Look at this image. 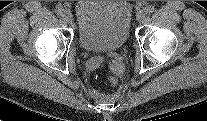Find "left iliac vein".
<instances>
[{
	"label": "left iliac vein",
	"instance_id": "obj_1",
	"mask_svg": "<svg viewBox=\"0 0 207 121\" xmlns=\"http://www.w3.org/2000/svg\"><path fill=\"white\" fill-rule=\"evenodd\" d=\"M136 19L138 22H142L145 19V13L143 11H139L137 13Z\"/></svg>",
	"mask_w": 207,
	"mask_h": 121
}]
</instances>
